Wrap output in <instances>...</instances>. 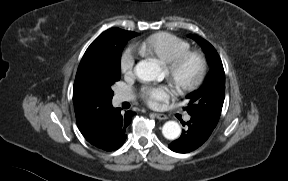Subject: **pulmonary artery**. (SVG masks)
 <instances>
[{
	"label": "pulmonary artery",
	"mask_w": 288,
	"mask_h": 181,
	"mask_svg": "<svg viewBox=\"0 0 288 181\" xmlns=\"http://www.w3.org/2000/svg\"><path fill=\"white\" fill-rule=\"evenodd\" d=\"M130 99V96L125 94V93H122V92H118L116 93L115 97H114V101L115 103H121V102H124V101H127ZM185 120L188 121L190 120V116H186L185 117Z\"/></svg>",
	"instance_id": "obj_1"
}]
</instances>
